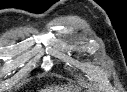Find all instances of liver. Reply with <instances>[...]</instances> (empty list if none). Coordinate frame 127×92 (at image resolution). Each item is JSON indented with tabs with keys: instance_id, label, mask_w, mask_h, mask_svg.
I'll list each match as a JSON object with an SVG mask.
<instances>
[{
	"instance_id": "obj_1",
	"label": "liver",
	"mask_w": 127,
	"mask_h": 92,
	"mask_svg": "<svg viewBox=\"0 0 127 92\" xmlns=\"http://www.w3.org/2000/svg\"><path fill=\"white\" fill-rule=\"evenodd\" d=\"M68 90H71V88L69 87V89ZM61 92H65V91H61ZM66 92H70V91H66Z\"/></svg>"
}]
</instances>
